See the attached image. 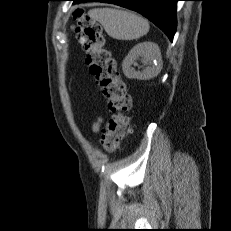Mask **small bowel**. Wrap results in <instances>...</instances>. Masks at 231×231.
I'll use <instances>...</instances> for the list:
<instances>
[{
	"mask_svg": "<svg viewBox=\"0 0 231 231\" xmlns=\"http://www.w3.org/2000/svg\"><path fill=\"white\" fill-rule=\"evenodd\" d=\"M102 119H97L93 124H92V130L94 132H99L100 127H101Z\"/></svg>",
	"mask_w": 231,
	"mask_h": 231,
	"instance_id": "c3829d8e",
	"label": "small bowel"
}]
</instances>
